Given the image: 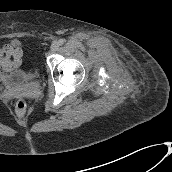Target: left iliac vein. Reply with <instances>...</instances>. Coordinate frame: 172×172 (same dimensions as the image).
I'll return each instance as SVG.
<instances>
[{
  "instance_id": "left-iliac-vein-1",
  "label": "left iliac vein",
  "mask_w": 172,
  "mask_h": 172,
  "mask_svg": "<svg viewBox=\"0 0 172 172\" xmlns=\"http://www.w3.org/2000/svg\"><path fill=\"white\" fill-rule=\"evenodd\" d=\"M59 42L57 41H54L52 44H51V50L52 51H57L59 49Z\"/></svg>"
}]
</instances>
